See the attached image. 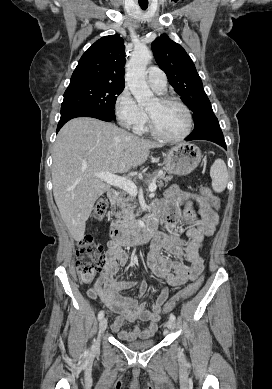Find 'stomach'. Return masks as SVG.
Listing matches in <instances>:
<instances>
[{
    "label": "stomach",
    "instance_id": "1",
    "mask_svg": "<svg viewBox=\"0 0 272 389\" xmlns=\"http://www.w3.org/2000/svg\"><path fill=\"white\" fill-rule=\"evenodd\" d=\"M164 156V169L175 175H187L200 163L202 153L192 143H181L172 147Z\"/></svg>",
    "mask_w": 272,
    "mask_h": 389
}]
</instances>
